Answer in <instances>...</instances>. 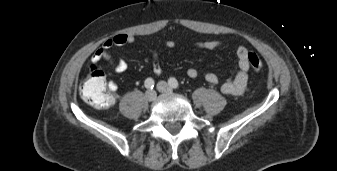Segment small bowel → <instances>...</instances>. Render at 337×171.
<instances>
[{"instance_id":"c3829d8e","label":"small bowel","mask_w":337,"mask_h":171,"mask_svg":"<svg viewBox=\"0 0 337 171\" xmlns=\"http://www.w3.org/2000/svg\"><path fill=\"white\" fill-rule=\"evenodd\" d=\"M135 42V37L132 34L119 33L113 37L104 41L102 46L98 48L91 57L92 64H98L101 61H106L116 73H123L128 69V62L125 59H116L110 54V49L112 47H122L125 45H130ZM222 45L219 40H206L197 41L194 46L199 49L214 50ZM164 46L170 49L176 47V42L172 39H168L164 42ZM249 51L245 47H239L236 50V57L238 62V70L234 76L229 77L221 85V91L224 94L239 96L242 95L247 87L248 82V71L250 64L248 61ZM152 70L155 74L159 75L162 71L161 64L157 58V55H153L152 59ZM187 76L189 78L199 77V72L195 68H190L187 70ZM205 80L213 85L219 83V77L213 72H209L205 75ZM108 89L115 94L118 90V85L115 81L107 82Z\"/></svg>"}]
</instances>
